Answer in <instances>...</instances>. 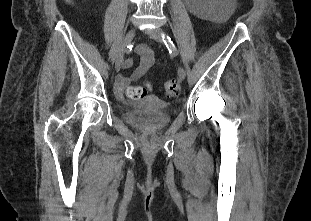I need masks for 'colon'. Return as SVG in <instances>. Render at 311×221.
Wrapping results in <instances>:
<instances>
[{
  "instance_id": "obj_1",
  "label": "colon",
  "mask_w": 311,
  "mask_h": 221,
  "mask_svg": "<svg viewBox=\"0 0 311 221\" xmlns=\"http://www.w3.org/2000/svg\"><path fill=\"white\" fill-rule=\"evenodd\" d=\"M75 0H65V2L71 4ZM163 93L165 97L171 98L175 96L179 91V85L175 79H168L163 85ZM146 88H131L129 90L130 99H143L144 95H146Z\"/></svg>"
}]
</instances>
